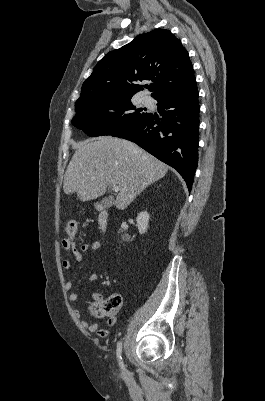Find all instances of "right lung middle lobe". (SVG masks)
<instances>
[{"label": "right lung middle lobe", "mask_w": 265, "mask_h": 401, "mask_svg": "<svg viewBox=\"0 0 265 401\" xmlns=\"http://www.w3.org/2000/svg\"><path fill=\"white\" fill-rule=\"evenodd\" d=\"M72 124L88 136L112 135L143 119L148 113L136 109L131 97L102 96L79 104Z\"/></svg>", "instance_id": "dd1d6c3e"}]
</instances>
